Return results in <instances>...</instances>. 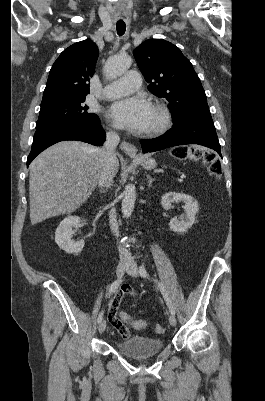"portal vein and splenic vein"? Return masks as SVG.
<instances>
[{
    "label": "portal vein and splenic vein",
    "instance_id": "obj_1",
    "mask_svg": "<svg viewBox=\"0 0 265 401\" xmlns=\"http://www.w3.org/2000/svg\"><path fill=\"white\" fill-rule=\"evenodd\" d=\"M181 178H182V179H186V178H187V175H186V174H182V175H181Z\"/></svg>",
    "mask_w": 265,
    "mask_h": 401
}]
</instances>
